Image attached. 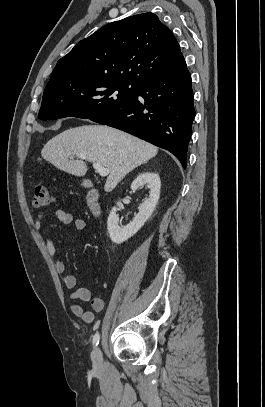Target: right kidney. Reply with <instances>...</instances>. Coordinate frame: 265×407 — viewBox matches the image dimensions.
<instances>
[{
  "label": "right kidney",
  "instance_id": "1",
  "mask_svg": "<svg viewBox=\"0 0 265 407\" xmlns=\"http://www.w3.org/2000/svg\"><path fill=\"white\" fill-rule=\"evenodd\" d=\"M142 185H146L149 191V198L144 200L139 206V212L132 222L124 227L118 225L117 208L113 207L107 220V229L111 240L116 244L135 235L152 215L160 196L161 181L158 174L153 172H143L131 184V190L135 191Z\"/></svg>",
  "mask_w": 265,
  "mask_h": 407
}]
</instances>
